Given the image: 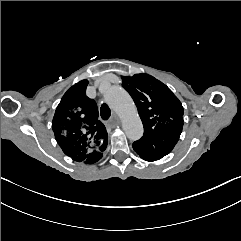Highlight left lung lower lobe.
<instances>
[{
  "label": "left lung lower lobe",
  "mask_w": 241,
  "mask_h": 241,
  "mask_svg": "<svg viewBox=\"0 0 241 241\" xmlns=\"http://www.w3.org/2000/svg\"><path fill=\"white\" fill-rule=\"evenodd\" d=\"M181 132L164 133L155 143L146 141H135L133 149L146 161H156L172 151L176 145Z\"/></svg>",
  "instance_id": "left-lung-lower-lobe-1"
}]
</instances>
